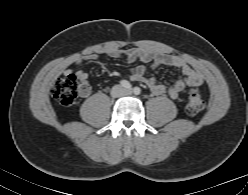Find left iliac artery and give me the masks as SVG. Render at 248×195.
<instances>
[{
    "label": "left iliac artery",
    "mask_w": 248,
    "mask_h": 195,
    "mask_svg": "<svg viewBox=\"0 0 248 195\" xmlns=\"http://www.w3.org/2000/svg\"><path fill=\"white\" fill-rule=\"evenodd\" d=\"M133 92L135 95H139L141 93V89L139 87H134Z\"/></svg>",
    "instance_id": "1"
}]
</instances>
